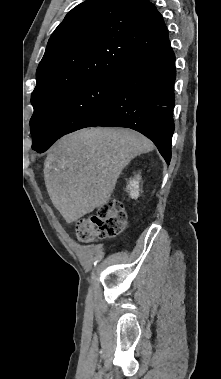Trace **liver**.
I'll list each match as a JSON object with an SVG mask.
<instances>
[{
  "mask_svg": "<svg viewBox=\"0 0 221 379\" xmlns=\"http://www.w3.org/2000/svg\"><path fill=\"white\" fill-rule=\"evenodd\" d=\"M154 144L124 128H88L58 140L44 162V180L53 205L67 223L110 199L124 167Z\"/></svg>",
  "mask_w": 221,
  "mask_h": 379,
  "instance_id": "6515ba94",
  "label": "liver"
}]
</instances>
